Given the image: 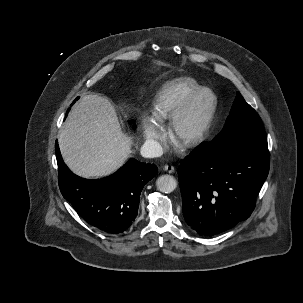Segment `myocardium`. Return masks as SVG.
Listing matches in <instances>:
<instances>
[{"instance_id":"myocardium-1","label":"myocardium","mask_w":303,"mask_h":303,"mask_svg":"<svg viewBox=\"0 0 303 303\" xmlns=\"http://www.w3.org/2000/svg\"><path fill=\"white\" fill-rule=\"evenodd\" d=\"M209 94L211 97L210 106L199 124V126L190 134L182 132V125L184 120L193 110L198 99L204 95ZM218 108V97L216 93L209 87H200L196 90L183 105H181L170 118V131L172 136L183 146L193 147L201 143L211 127Z\"/></svg>"}]
</instances>
